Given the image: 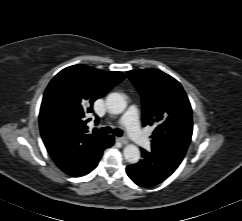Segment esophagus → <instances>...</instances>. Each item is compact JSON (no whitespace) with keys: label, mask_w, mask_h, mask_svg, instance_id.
Wrapping results in <instances>:
<instances>
[{"label":"esophagus","mask_w":242,"mask_h":221,"mask_svg":"<svg viewBox=\"0 0 242 221\" xmlns=\"http://www.w3.org/2000/svg\"><path fill=\"white\" fill-rule=\"evenodd\" d=\"M116 139H117V141H119L122 144H127L128 143V140L126 138H124V137H117Z\"/></svg>","instance_id":"34e87169"}]
</instances>
